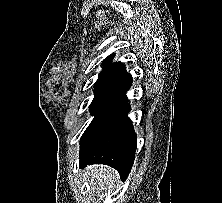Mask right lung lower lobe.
<instances>
[{"label": "right lung lower lobe", "mask_w": 222, "mask_h": 203, "mask_svg": "<svg viewBox=\"0 0 222 203\" xmlns=\"http://www.w3.org/2000/svg\"><path fill=\"white\" fill-rule=\"evenodd\" d=\"M131 83L94 113L81 137L80 166L105 164L114 167L125 180L136 150V133L127 117L130 106L125 95Z\"/></svg>", "instance_id": "98d812e1"}]
</instances>
